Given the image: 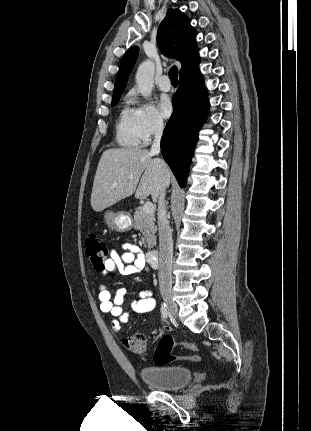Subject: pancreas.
<instances>
[{
    "instance_id": "obj_1",
    "label": "pancreas",
    "mask_w": 311,
    "mask_h": 431,
    "mask_svg": "<svg viewBox=\"0 0 311 431\" xmlns=\"http://www.w3.org/2000/svg\"><path fill=\"white\" fill-rule=\"evenodd\" d=\"M134 216V227L135 229H140L142 231L143 237L142 243L146 249H151L156 245V231L157 227L155 225L154 214H145L143 212L142 206L135 208Z\"/></svg>"
}]
</instances>
